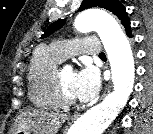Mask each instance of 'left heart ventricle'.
<instances>
[{
  "label": "left heart ventricle",
  "mask_w": 153,
  "mask_h": 134,
  "mask_svg": "<svg viewBox=\"0 0 153 134\" xmlns=\"http://www.w3.org/2000/svg\"><path fill=\"white\" fill-rule=\"evenodd\" d=\"M75 72L72 70H63L57 76L60 79L63 88L67 95L76 99L74 92V80H75Z\"/></svg>",
  "instance_id": "1"
}]
</instances>
